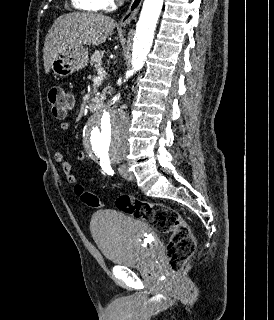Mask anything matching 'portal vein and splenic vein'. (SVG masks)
<instances>
[{
    "mask_svg": "<svg viewBox=\"0 0 274 320\" xmlns=\"http://www.w3.org/2000/svg\"><path fill=\"white\" fill-rule=\"evenodd\" d=\"M98 78H101V76H105L106 72L103 70V68H98L97 70Z\"/></svg>",
    "mask_w": 274,
    "mask_h": 320,
    "instance_id": "portal-vein-and-splenic-vein-1",
    "label": "portal vein and splenic vein"
}]
</instances>
